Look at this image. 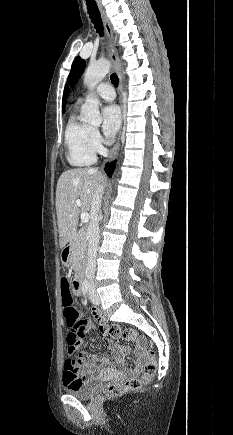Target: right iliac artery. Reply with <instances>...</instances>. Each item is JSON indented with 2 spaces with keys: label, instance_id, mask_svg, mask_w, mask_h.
Segmentation results:
<instances>
[{
  "label": "right iliac artery",
  "instance_id": "right-iliac-artery-1",
  "mask_svg": "<svg viewBox=\"0 0 233 435\" xmlns=\"http://www.w3.org/2000/svg\"><path fill=\"white\" fill-rule=\"evenodd\" d=\"M89 286H90L89 281L86 280L83 282L82 291L84 294L88 293Z\"/></svg>",
  "mask_w": 233,
  "mask_h": 435
}]
</instances>
